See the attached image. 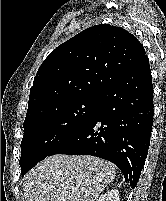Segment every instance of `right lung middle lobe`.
Masks as SVG:
<instances>
[{
  "label": "right lung middle lobe",
  "mask_w": 166,
  "mask_h": 201,
  "mask_svg": "<svg viewBox=\"0 0 166 201\" xmlns=\"http://www.w3.org/2000/svg\"><path fill=\"white\" fill-rule=\"evenodd\" d=\"M98 101L99 95L82 96L25 118L21 174H26L76 131L96 110Z\"/></svg>",
  "instance_id": "right-lung-middle-lobe-1"
}]
</instances>
